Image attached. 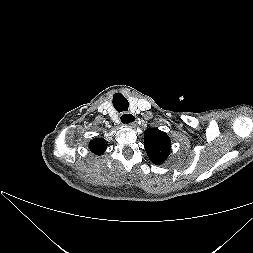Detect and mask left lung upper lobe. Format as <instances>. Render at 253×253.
Instances as JSON below:
<instances>
[{
  "mask_svg": "<svg viewBox=\"0 0 253 253\" xmlns=\"http://www.w3.org/2000/svg\"><path fill=\"white\" fill-rule=\"evenodd\" d=\"M144 147L153 163L162 164L170 154L171 142L165 132L149 128L144 133Z\"/></svg>",
  "mask_w": 253,
  "mask_h": 253,
  "instance_id": "left-lung-upper-lobe-1",
  "label": "left lung upper lobe"
}]
</instances>
